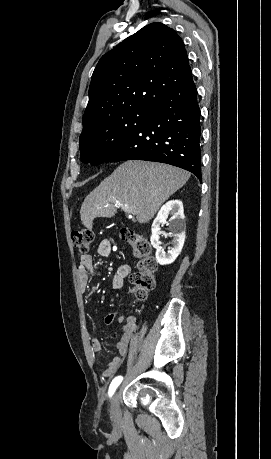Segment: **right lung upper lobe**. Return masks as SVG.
<instances>
[{
    "label": "right lung upper lobe",
    "mask_w": 271,
    "mask_h": 459,
    "mask_svg": "<svg viewBox=\"0 0 271 459\" xmlns=\"http://www.w3.org/2000/svg\"><path fill=\"white\" fill-rule=\"evenodd\" d=\"M192 79L182 39L155 22L131 35L99 60L89 87L83 123L140 105L153 106Z\"/></svg>",
    "instance_id": "obj_1"
}]
</instances>
